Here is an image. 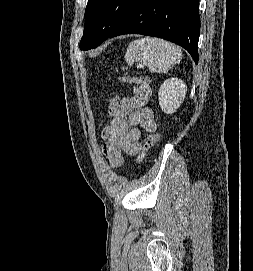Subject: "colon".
Instances as JSON below:
<instances>
[{
  "instance_id": "5ec220e1",
  "label": "colon",
  "mask_w": 253,
  "mask_h": 271,
  "mask_svg": "<svg viewBox=\"0 0 253 271\" xmlns=\"http://www.w3.org/2000/svg\"><path fill=\"white\" fill-rule=\"evenodd\" d=\"M135 83L141 84V85H148L149 81L141 78V77H137L133 80ZM160 139V133L159 132H155L152 133L150 135L147 136L146 140H145V145H144V149L140 155V161H144L147 159V157L152 153V151L154 150L155 146L157 145V143L159 142Z\"/></svg>"
}]
</instances>
